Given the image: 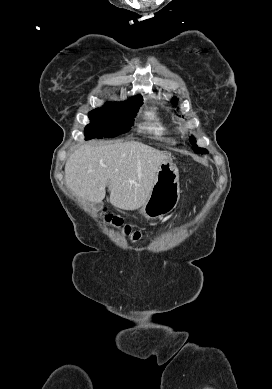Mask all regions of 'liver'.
Here are the masks:
<instances>
[{"label": "liver", "mask_w": 272, "mask_h": 389, "mask_svg": "<svg viewBox=\"0 0 272 389\" xmlns=\"http://www.w3.org/2000/svg\"><path fill=\"white\" fill-rule=\"evenodd\" d=\"M166 153L138 141L79 147L65 165L66 185L82 200L100 203L109 184L110 203L136 210L147 201Z\"/></svg>", "instance_id": "liver-1"}]
</instances>
